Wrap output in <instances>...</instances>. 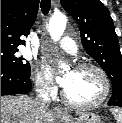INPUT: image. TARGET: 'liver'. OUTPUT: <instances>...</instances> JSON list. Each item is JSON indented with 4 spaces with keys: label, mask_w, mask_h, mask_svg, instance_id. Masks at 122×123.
<instances>
[{
    "label": "liver",
    "mask_w": 122,
    "mask_h": 123,
    "mask_svg": "<svg viewBox=\"0 0 122 123\" xmlns=\"http://www.w3.org/2000/svg\"><path fill=\"white\" fill-rule=\"evenodd\" d=\"M51 122L52 116L47 111L42 115H37L35 100L30 96H1V123Z\"/></svg>",
    "instance_id": "obj_1"
}]
</instances>
